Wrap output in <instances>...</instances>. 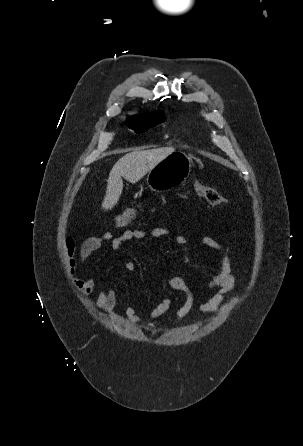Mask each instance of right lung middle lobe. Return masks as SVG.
Listing matches in <instances>:
<instances>
[{"instance_id": "dd1d6c3e", "label": "right lung middle lobe", "mask_w": 303, "mask_h": 446, "mask_svg": "<svg viewBox=\"0 0 303 446\" xmlns=\"http://www.w3.org/2000/svg\"><path fill=\"white\" fill-rule=\"evenodd\" d=\"M163 121L164 114L162 112H157L154 114L132 117L125 124L129 128L135 130V132L142 133Z\"/></svg>"}]
</instances>
